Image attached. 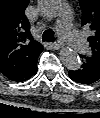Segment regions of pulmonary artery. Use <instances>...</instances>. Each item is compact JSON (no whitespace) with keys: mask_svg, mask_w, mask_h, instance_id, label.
Here are the masks:
<instances>
[{"mask_svg":"<svg viewBox=\"0 0 100 118\" xmlns=\"http://www.w3.org/2000/svg\"><path fill=\"white\" fill-rule=\"evenodd\" d=\"M71 18V12L63 10L59 16L58 30L62 38L68 41L76 51L86 53L89 50L88 43L80 32L73 27Z\"/></svg>","mask_w":100,"mask_h":118,"instance_id":"obj_1","label":"pulmonary artery"}]
</instances>
